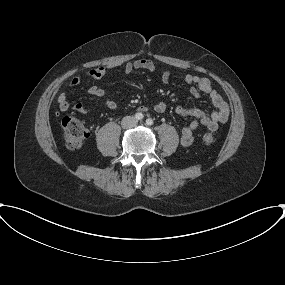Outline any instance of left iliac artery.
<instances>
[{"mask_svg":"<svg viewBox=\"0 0 285 285\" xmlns=\"http://www.w3.org/2000/svg\"><path fill=\"white\" fill-rule=\"evenodd\" d=\"M146 124L147 125H152L153 124V120L152 119H150V118H148L147 120H146Z\"/></svg>","mask_w":285,"mask_h":285,"instance_id":"44dca946","label":"left iliac artery"}]
</instances>
